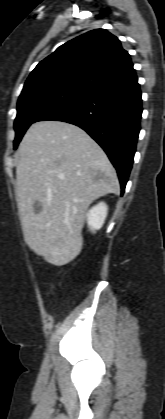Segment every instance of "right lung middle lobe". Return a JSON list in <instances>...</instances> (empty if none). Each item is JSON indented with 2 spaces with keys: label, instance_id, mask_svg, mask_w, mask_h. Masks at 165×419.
<instances>
[{
  "label": "right lung middle lobe",
  "instance_id": "1",
  "mask_svg": "<svg viewBox=\"0 0 165 419\" xmlns=\"http://www.w3.org/2000/svg\"><path fill=\"white\" fill-rule=\"evenodd\" d=\"M87 92L68 87H48L33 90L21 95L17 103V117L14 122L16 137L14 149L17 148L28 127L43 115L65 103L73 101Z\"/></svg>",
  "mask_w": 165,
  "mask_h": 419
}]
</instances>
